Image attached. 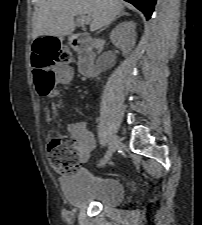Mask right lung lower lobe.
<instances>
[{"mask_svg": "<svg viewBox=\"0 0 202 225\" xmlns=\"http://www.w3.org/2000/svg\"><path fill=\"white\" fill-rule=\"evenodd\" d=\"M135 7H137L140 11L144 13L147 19H150L151 14L154 10V5L156 0H125Z\"/></svg>", "mask_w": 202, "mask_h": 225, "instance_id": "1", "label": "right lung lower lobe"}]
</instances>
